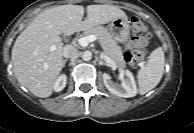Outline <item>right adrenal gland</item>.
I'll use <instances>...</instances> for the list:
<instances>
[{
  "mask_svg": "<svg viewBox=\"0 0 194 133\" xmlns=\"http://www.w3.org/2000/svg\"><path fill=\"white\" fill-rule=\"evenodd\" d=\"M66 62H67V60H64L63 61V67H65Z\"/></svg>",
  "mask_w": 194,
  "mask_h": 133,
  "instance_id": "1",
  "label": "right adrenal gland"
}]
</instances>
